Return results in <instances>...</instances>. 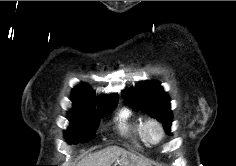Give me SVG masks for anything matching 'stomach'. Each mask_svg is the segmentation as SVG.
I'll return each mask as SVG.
<instances>
[{"instance_id":"0dacf381","label":"stomach","mask_w":236,"mask_h":166,"mask_svg":"<svg viewBox=\"0 0 236 166\" xmlns=\"http://www.w3.org/2000/svg\"><path fill=\"white\" fill-rule=\"evenodd\" d=\"M132 158H133L132 155L122 156L119 160V166H135V165H132V161H133Z\"/></svg>"}]
</instances>
